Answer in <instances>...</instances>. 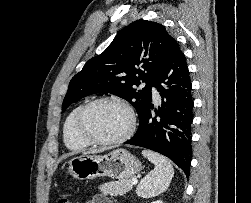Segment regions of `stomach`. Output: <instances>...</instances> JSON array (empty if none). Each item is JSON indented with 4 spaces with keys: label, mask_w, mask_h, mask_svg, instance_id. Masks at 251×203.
<instances>
[{
    "label": "stomach",
    "mask_w": 251,
    "mask_h": 203,
    "mask_svg": "<svg viewBox=\"0 0 251 203\" xmlns=\"http://www.w3.org/2000/svg\"><path fill=\"white\" fill-rule=\"evenodd\" d=\"M141 169L140 160L124 149L113 150L105 155H81L69 161L70 174L79 180L103 176L128 179Z\"/></svg>",
    "instance_id": "0dacf381"
}]
</instances>
